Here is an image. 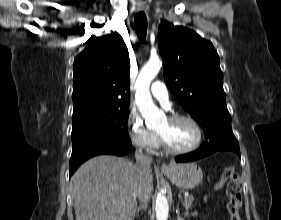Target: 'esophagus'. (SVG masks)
I'll use <instances>...</instances> for the list:
<instances>
[{"label":"esophagus","mask_w":281,"mask_h":220,"mask_svg":"<svg viewBox=\"0 0 281 220\" xmlns=\"http://www.w3.org/2000/svg\"><path fill=\"white\" fill-rule=\"evenodd\" d=\"M145 9L143 7H139L138 11H144ZM170 169V167L168 165H162L161 166V170L162 171H168Z\"/></svg>","instance_id":"obj_1"}]
</instances>
